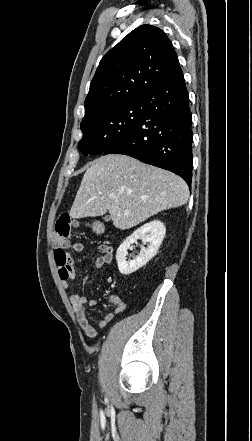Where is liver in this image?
<instances>
[{
	"mask_svg": "<svg viewBox=\"0 0 252 441\" xmlns=\"http://www.w3.org/2000/svg\"><path fill=\"white\" fill-rule=\"evenodd\" d=\"M188 198L186 182L174 173L110 154L95 159L85 172L70 216L96 217L108 210L113 225L126 230L158 212L185 205Z\"/></svg>",
	"mask_w": 252,
	"mask_h": 441,
	"instance_id": "liver-1",
	"label": "liver"
}]
</instances>
